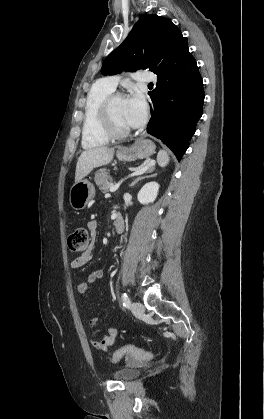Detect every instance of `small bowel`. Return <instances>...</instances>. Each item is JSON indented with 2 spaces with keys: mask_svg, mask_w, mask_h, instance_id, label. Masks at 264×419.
Returning a JSON list of instances; mask_svg holds the SVG:
<instances>
[{
  "mask_svg": "<svg viewBox=\"0 0 264 419\" xmlns=\"http://www.w3.org/2000/svg\"><path fill=\"white\" fill-rule=\"evenodd\" d=\"M88 228L92 233H94L96 229V222L90 221L88 223ZM91 257H92V248H89L86 252L76 257L72 261L71 265L73 268H82L90 261ZM103 278H105V273L103 271H96L92 273L86 280L78 283L77 285L78 292L82 296H85L90 291L94 282L98 279H103ZM97 323H98L97 317H92L88 321V325L91 328H94L97 325ZM118 334H119V331L117 328H109L105 330L104 332H102L101 334L99 332L94 333L91 338V345L97 350L106 352L114 346L117 340Z\"/></svg>",
  "mask_w": 264,
  "mask_h": 419,
  "instance_id": "obj_1",
  "label": "small bowel"
}]
</instances>
